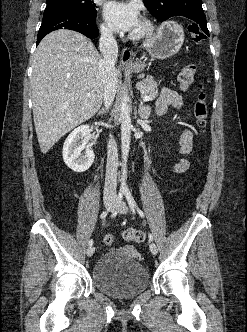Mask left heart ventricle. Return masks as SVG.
Here are the masks:
<instances>
[{
  "mask_svg": "<svg viewBox=\"0 0 247 332\" xmlns=\"http://www.w3.org/2000/svg\"><path fill=\"white\" fill-rule=\"evenodd\" d=\"M141 28V23L138 25L135 31L139 30Z\"/></svg>",
  "mask_w": 247,
  "mask_h": 332,
  "instance_id": "obj_1",
  "label": "left heart ventricle"
}]
</instances>
